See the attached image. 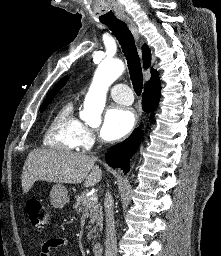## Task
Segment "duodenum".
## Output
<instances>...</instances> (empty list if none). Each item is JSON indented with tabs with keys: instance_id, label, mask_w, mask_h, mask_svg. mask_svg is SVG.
I'll use <instances>...</instances> for the list:
<instances>
[{
	"instance_id": "duodenum-1",
	"label": "duodenum",
	"mask_w": 221,
	"mask_h": 256,
	"mask_svg": "<svg viewBox=\"0 0 221 256\" xmlns=\"http://www.w3.org/2000/svg\"><path fill=\"white\" fill-rule=\"evenodd\" d=\"M94 256H102L103 247L101 243H94L92 246Z\"/></svg>"
}]
</instances>
